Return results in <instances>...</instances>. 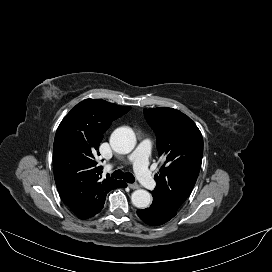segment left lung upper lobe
I'll list each match as a JSON object with an SVG mask.
<instances>
[{
  "label": "left lung upper lobe",
  "mask_w": 272,
  "mask_h": 272,
  "mask_svg": "<svg viewBox=\"0 0 272 272\" xmlns=\"http://www.w3.org/2000/svg\"><path fill=\"white\" fill-rule=\"evenodd\" d=\"M144 114L157 135L159 155L163 156L152 196L177 210L190 195L200 171L201 132L188 116L173 108L144 109Z\"/></svg>",
  "instance_id": "left-lung-upper-lobe-1"
}]
</instances>
